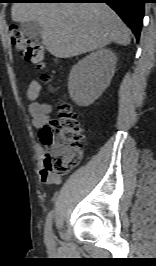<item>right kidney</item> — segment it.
Here are the masks:
<instances>
[{
  "instance_id": "obj_1",
  "label": "right kidney",
  "mask_w": 156,
  "mask_h": 266,
  "mask_svg": "<svg viewBox=\"0 0 156 266\" xmlns=\"http://www.w3.org/2000/svg\"><path fill=\"white\" fill-rule=\"evenodd\" d=\"M117 58L110 49H100L83 58L71 69L68 91L79 106H89L108 87Z\"/></svg>"
}]
</instances>
